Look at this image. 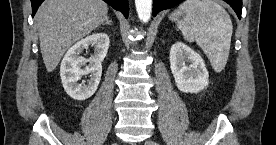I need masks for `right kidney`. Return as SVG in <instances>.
Returning a JSON list of instances; mask_svg holds the SVG:
<instances>
[{
	"mask_svg": "<svg viewBox=\"0 0 276 145\" xmlns=\"http://www.w3.org/2000/svg\"><path fill=\"white\" fill-rule=\"evenodd\" d=\"M89 45L95 47L94 55L89 59L79 56ZM108 48V35L106 33H94L78 41L67 51L61 62L60 77L64 90L71 98L84 101L95 93L102 75V61L107 55ZM87 74H90L88 84H78V80Z\"/></svg>",
	"mask_w": 276,
	"mask_h": 145,
	"instance_id": "1",
	"label": "right kidney"
}]
</instances>
